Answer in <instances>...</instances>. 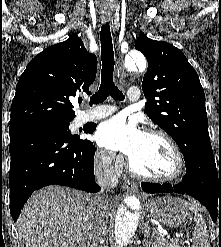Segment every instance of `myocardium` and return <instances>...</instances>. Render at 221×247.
Wrapping results in <instances>:
<instances>
[{"label": "myocardium", "mask_w": 221, "mask_h": 247, "mask_svg": "<svg viewBox=\"0 0 221 247\" xmlns=\"http://www.w3.org/2000/svg\"><path fill=\"white\" fill-rule=\"evenodd\" d=\"M145 134L151 136H157L163 139L171 147L176 158V170L173 174L169 176H152V175L144 174L138 172L134 168L129 158L127 161L129 171L137 178L151 182H157V183H172L182 179L186 174V161L183 152L179 147V145L177 144V142L167 132L161 129H147Z\"/></svg>", "instance_id": "myocardium-1"}]
</instances>
